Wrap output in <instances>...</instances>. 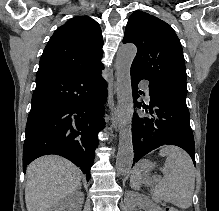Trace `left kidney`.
<instances>
[{"label":"left kidney","mask_w":219,"mask_h":211,"mask_svg":"<svg viewBox=\"0 0 219 211\" xmlns=\"http://www.w3.org/2000/svg\"><path fill=\"white\" fill-rule=\"evenodd\" d=\"M137 207H143V209H148V211H162V207L157 205V203H147L142 197H136Z\"/></svg>","instance_id":"obj_1"}]
</instances>
